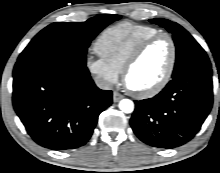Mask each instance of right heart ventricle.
<instances>
[{"label":"right heart ventricle","instance_id":"right-heart-ventricle-1","mask_svg":"<svg viewBox=\"0 0 220 173\" xmlns=\"http://www.w3.org/2000/svg\"><path fill=\"white\" fill-rule=\"evenodd\" d=\"M159 33V30L142 24L124 22L105 29L98 37L95 48L98 54L119 72L140 42Z\"/></svg>","mask_w":220,"mask_h":173}]
</instances>
